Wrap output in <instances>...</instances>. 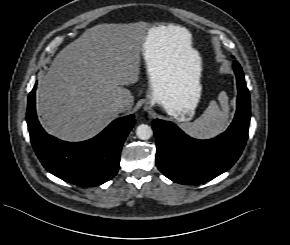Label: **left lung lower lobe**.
<instances>
[{
    "label": "left lung lower lobe",
    "mask_w": 290,
    "mask_h": 245,
    "mask_svg": "<svg viewBox=\"0 0 290 245\" xmlns=\"http://www.w3.org/2000/svg\"><path fill=\"white\" fill-rule=\"evenodd\" d=\"M238 86L237 110L230 127L210 140H197L182 132L174 123L156 119L158 169L174 182L196 185L228 170L239 158L250 121V98L240 64L234 61Z\"/></svg>",
    "instance_id": "0a47b994"
}]
</instances>
